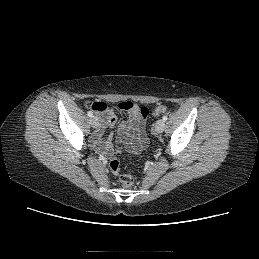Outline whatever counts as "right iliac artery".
Wrapping results in <instances>:
<instances>
[{
	"instance_id": "1",
	"label": "right iliac artery",
	"mask_w": 259,
	"mask_h": 259,
	"mask_svg": "<svg viewBox=\"0 0 259 259\" xmlns=\"http://www.w3.org/2000/svg\"><path fill=\"white\" fill-rule=\"evenodd\" d=\"M88 116L89 117H92L93 116V113L91 111H88Z\"/></svg>"
}]
</instances>
